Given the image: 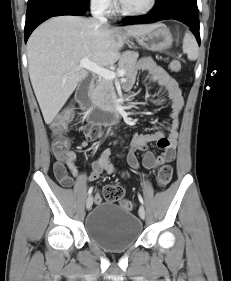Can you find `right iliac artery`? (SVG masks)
<instances>
[{"label":"right iliac artery","instance_id":"right-iliac-artery-1","mask_svg":"<svg viewBox=\"0 0 231 281\" xmlns=\"http://www.w3.org/2000/svg\"><path fill=\"white\" fill-rule=\"evenodd\" d=\"M93 187H90L88 190V195H90L92 193Z\"/></svg>","mask_w":231,"mask_h":281}]
</instances>
